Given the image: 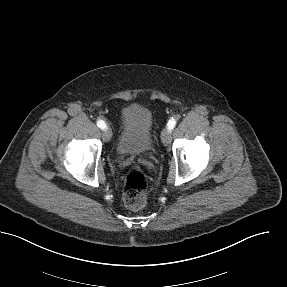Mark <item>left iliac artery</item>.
<instances>
[{"instance_id":"obj_1","label":"left iliac artery","mask_w":287,"mask_h":287,"mask_svg":"<svg viewBox=\"0 0 287 287\" xmlns=\"http://www.w3.org/2000/svg\"><path fill=\"white\" fill-rule=\"evenodd\" d=\"M175 125H176V120L174 118H171L167 123L169 130H172L175 127Z\"/></svg>"}]
</instances>
